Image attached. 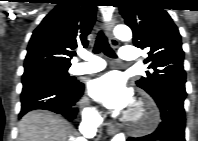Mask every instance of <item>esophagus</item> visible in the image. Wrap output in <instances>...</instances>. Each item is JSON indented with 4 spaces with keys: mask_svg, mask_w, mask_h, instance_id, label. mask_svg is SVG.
<instances>
[{
    "mask_svg": "<svg viewBox=\"0 0 198 141\" xmlns=\"http://www.w3.org/2000/svg\"><path fill=\"white\" fill-rule=\"evenodd\" d=\"M114 25H115V17L107 25L108 40L112 47L118 48V46H119L118 40L115 38V36L113 34ZM117 131H118V125L116 123H114L113 121H109L107 123L108 134L114 135Z\"/></svg>",
    "mask_w": 198,
    "mask_h": 141,
    "instance_id": "34e87169",
    "label": "esophagus"
}]
</instances>
